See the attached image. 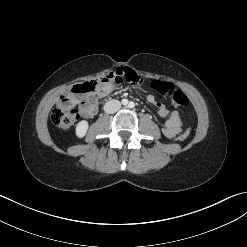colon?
Wrapping results in <instances>:
<instances>
[{
    "label": "colon",
    "instance_id": "obj_1",
    "mask_svg": "<svg viewBox=\"0 0 247 247\" xmlns=\"http://www.w3.org/2000/svg\"><path fill=\"white\" fill-rule=\"evenodd\" d=\"M132 83H141L142 79L138 76L129 75L126 78ZM115 82L120 83V78L116 77L114 73L102 77L99 81H89L73 86L70 92L61 96L59 103L51 113V120L55 126L62 130H69L79 118V111L75 107V95H86L83 102L87 105L95 103L94 93L106 83ZM150 86L159 94L168 96L174 105L186 106L189 103L188 97L179 89H176L173 84L164 81L154 80ZM190 130H185L178 135V140L184 141L188 138Z\"/></svg>",
    "mask_w": 247,
    "mask_h": 247
}]
</instances>
